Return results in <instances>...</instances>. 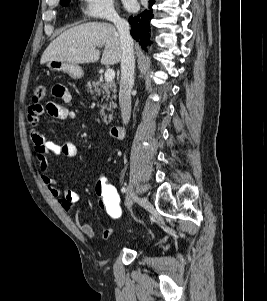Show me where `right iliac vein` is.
<instances>
[{"instance_id": "right-iliac-vein-1", "label": "right iliac vein", "mask_w": 267, "mask_h": 301, "mask_svg": "<svg viewBox=\"0 0 267 301\" xmlns=\"http://www.w3.org/2000/svg\"><path fill=\"white\" fill-rule=\"evenodd\" d=\"M134 201H136L140 204H143V205H145L147 203L145 200H141L140 198H138L137 195L135 194L132 186L129 185L127 192H126V206L128 209H130L132 207V204Z\"/></svg>"}]
</instances>
